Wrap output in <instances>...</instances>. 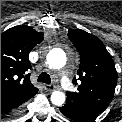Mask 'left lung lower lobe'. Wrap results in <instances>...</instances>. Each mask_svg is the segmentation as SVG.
I'll return each mask as SVG.
<instances>
[{
  "mask_svg": "<svg viewBox=\"0 0 122 122\" xmlns=\"http://www.w3.org/2000/svg\"><path fill=\"white\" fill-rule=\"evenodd\" d=\"M60 111L66 117L77 122L92 121L100 114L89 107L69 101L68 99L66 100L65 105L60 107Z\"/></svg>",
  "mask_w": 122,
  "mask_h": 122,
  "instance_id": "0a47b994",
  "label": "left lung lower lobe"
}]
</instances>
